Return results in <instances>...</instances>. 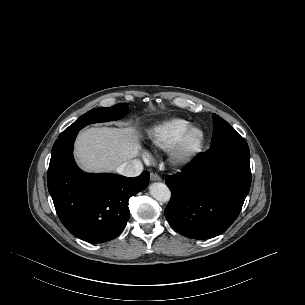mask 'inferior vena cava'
Here are the masks:
<instances>
[{"instance_id": "1", "label": "inferior vena cava", "mask_w": 305, "mask_h": 305, "mask_svg": "<svg viewBox=\"0 0 305 305\" xmlns=\"http://www.w3.org/2000/svg\"><path fill=\"white\" fill-rule=\"evenodd\" d=\"M143 171V165L140 160H129L117 166L116 172L126 177H136Z\"/></svg>"}]
</instances>
